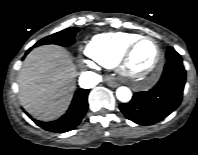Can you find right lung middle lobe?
<instances>
[{
	"mask_svg": "<svg viewBox=\"0 0 198 155\" xmlns=\"http://www.w3.org/2000/svg\"><path fill=\"white\" fill-rule=\"evenodd\" d=\"M78 31L79 29L76 27L67 28L58 33L52 34L50 36L41 39L33 47H37L39 45H44V44H57L61 46H70L75 42L74 37L76 32Z\"/></svg>",
	"mask_w": 198,
	"mask_h": 155,
	"instance_id": "dd1d6c3e",
	"label": "right lung middle lobe"
}]
</instances>
